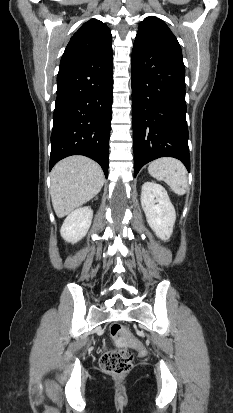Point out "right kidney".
Here are the masks:
<instances>
[{
	"mask_svg": "<svg viewBox=\"0 0 233 413\" xmlns=\"http://www.w3.org/2000/svg\"><path fill=\"white\" fill-rule=\"evenodd\" d=\"M93 217L91 207L85 206L71 212L64 220L60 233L66 242L76 243L88 232Z\"/></svg>",
	"mask_w": 233,
	"mask_h": 413,
	"instance_id": "obj_1",
	"label": "right kidney"
}]
</instances>
